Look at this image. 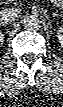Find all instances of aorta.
Masks as SVG:
<instances>
[{"mask_svg": "<svg viewBox=\"0 0 63 107\" xmlns=\"http://www.w3.org/2000/svg\"><path fill=\"white\" fill-rule=\"evenodd\" d=\"M23 25L26 30L37 31L41 27V21L37 16L30 15L25 17Z\"/></svg>", "mask_w": 63, "mask_h": 107, "instance_id": "aorta-1", "label": "aorta"}]
</instances>
